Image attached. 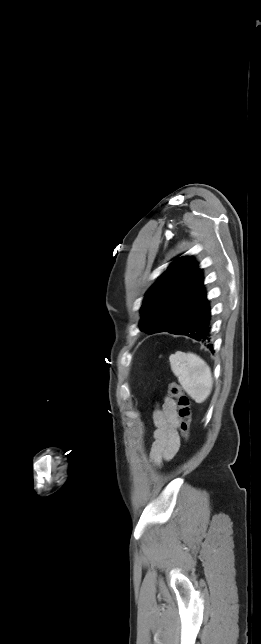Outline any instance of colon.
I'll list each match as a JSON object with an SVG mask.
<instances>
[{
  "label": "colon",
  "instance_id": "obj_1",
  "mask_svg": "<svg viewBox=\"0 0 261 644\" xmlns=\"http://www.w3.org/2000/svg\"><path fill=\"white\" fill-rule=\"evenodd\" d=\"M169 393L176 400L178 426L181 435L187 439L189 436V429L192 420V413L190 408V400L184 394L181 386L175 382L170 383Z\"/></svg>",
  "mask_w": 261,
  "mask_h": 644
}]
</instances>
